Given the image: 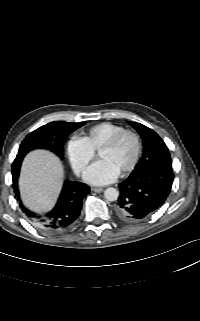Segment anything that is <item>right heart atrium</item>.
<instances>
[{"label": "right heart atrium", "mask_w": 200, "mask_h": 321, "mask_svg": "<svg viewBox=\"0 0 200 321\" xmlns=\"http://www.w3.org/2000/svg\"><path fill=\"white\" fill-rule=\"evenodd\" d=\"M66 154L73 169L80 174L94 158L95 153L82 137L74 136L67 142Z\"/></svg>", "instance_id": "obj_1"}]
</instances>
